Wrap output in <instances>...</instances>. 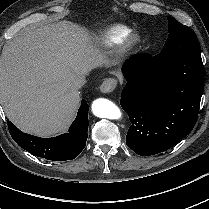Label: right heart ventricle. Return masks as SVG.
I'll list each match as a JSON object with an SVG mask.
<instances>
[{
    "label": "right heart ventricle",
    "mask_w": 209,
    "mask_h": 209,
    "mask_svg": "<svg viewBox=\"0 0 209 209\" xmlns=\"http://www.w3.org/2000/svg\"><path fill=\"white\" fill-rule=\"evenodd\" d=\"M132 29L124 24H116L108 28L105 32L101 35V40L104 43H115L122 39L127 34L131 33Z\"/></svg>",
    "instance_id": "obj_1"
}]
</instances>
